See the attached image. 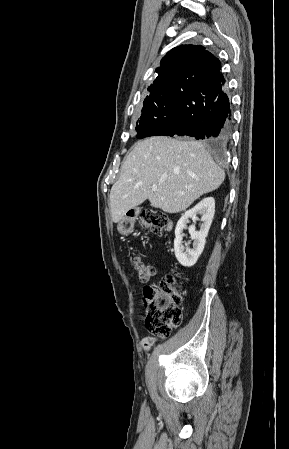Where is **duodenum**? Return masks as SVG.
Wrapping results in <instances>:
<instances>
[{
    "instance_id": "1",
    "label": "duodenum",
    "mask_w": 289,
    "mask_h": 449,
    "mask_svg": "<svg viewBox=\"0 0 289 449\" xmlns=\"http://www.w3.org/2000/svg\"><path fill=\"white\" fill-rule=\"evenodd\" d=\"M171 228V224H169L168 226H167V229L169 230Z\"/></svg>"
}]
</instances>
